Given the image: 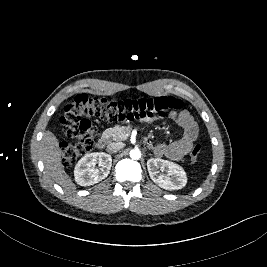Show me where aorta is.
Masks as SVG:
<instances>
[{
  "instance_id": "obj_1",
  "label": "aorta",
  "mask_w": 267,
  "mask_h": 267,
  "mask_svg": "<svg viewBox=\"0 0 267 267\" xmlns=\"http://www.w3.org/2000/svg\"><path fill=\"white\" fill-rule=\"evenodd\" d=\"M129 154L133 160H139L141 158V151L139 149H132Z\"/></svg>"
}]
</instances>
